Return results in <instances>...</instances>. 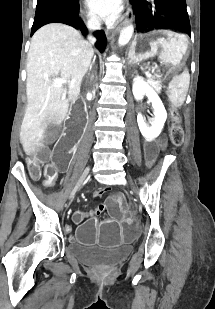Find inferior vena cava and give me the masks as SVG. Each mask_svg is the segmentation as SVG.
<instances>
[{"mask_svg":"<svg viewBox=\"0 0 215 309\" xmlns=\"http://www.w3.org/2000/svg\"><path fill=\"white\" fill-rule=\"evenodd\" d=\"M86 24L89 30H100L101 28V22L98 16H91V18L87 20ZM88 40H90V42H95L96 38L95 36H92V34H89Z\"/></svg>","mask_w":215,"mask_h":309,"instance_id":"1","label":"inferior vena cava"}]
</instances>
